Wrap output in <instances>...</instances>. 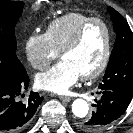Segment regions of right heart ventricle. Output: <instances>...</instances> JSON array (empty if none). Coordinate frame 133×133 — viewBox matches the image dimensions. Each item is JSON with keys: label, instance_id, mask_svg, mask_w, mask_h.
Listing matches in <instances>:
<instances>
[{"label": "right heart ventricle", "instance_id": "right-heart-ventricle-1", "mask_svg": "<svg viewBox=\"0 0 133 133\" xmlns=\"http://www.w3.org/2000/svg\"><path fill=\"white\" fill-rule=\"evenodd\" d=\"M90 18L92 17L80 12L64 14L48 24L45 34L52 46L60 52L79 27Z\"/></svg>", "mask_w": 133, "mask_h": 133}]
</instances>
